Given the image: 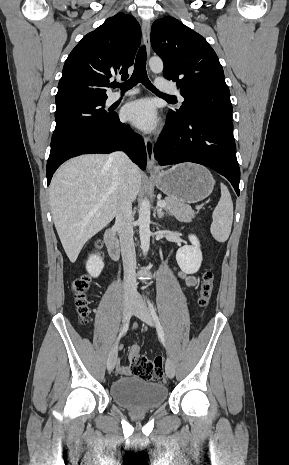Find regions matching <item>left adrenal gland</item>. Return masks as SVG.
<instances>
[{"instance_id": "left-adrenal-gland-1", "label": "left adrenal gland", "mask_w": 289, "mask_h": 465, "mask_svg": "<svg viewBox=\"0 0 289 465\" xmlns=\"http://www.w3.org/2000/svg\"><path fill=\"white\" fill-rule=\"evenodd\" d=\"M156 210H157L158 218H163L164 216L170 215V213L164 212V211L162 210V208H160V207H158V206H157Z\"/></svg>"}]
</instances>
